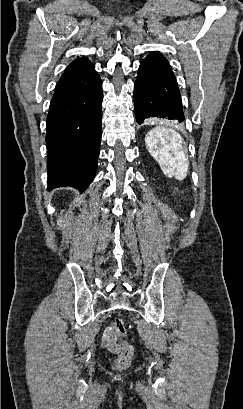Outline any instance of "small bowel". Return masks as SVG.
<instances>
[{"mask_svg": "<svg viewBox=\"0 0 243 409\" xmlns=\"http://www.w3.org/2000/svg\"><path fill=\"white\" fill-rule=\"evenodd\" d=\"M102 346L112 353H118L122 350V346L118 343V339L115 335L113 324L104 330L102 334Z\"/></svg>", "mask_w": 243, "mask_h": 409, "instance_id": "small-bowel-1", "label": "small bowel"}]
</instances>
